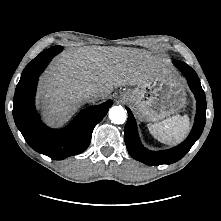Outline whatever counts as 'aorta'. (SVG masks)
Wrapping results in <instances>:
<instances>
[{
    "label": "aorta",
    "instance_id": "aorta-1",
    "mask_svg": "<svg viewBox=\"0 0 221 221\" xmlns=\"http://www.w3.org/2000/svg\"><path fill=\"white\" fill-rule=\"evenodd\" d=\"M109 118L115 124H123L126 121V111L122 106H113L109 110Z\"/></svg>",
    "mask_w": 221,
    "mask_h": 221
}]
</instances>
